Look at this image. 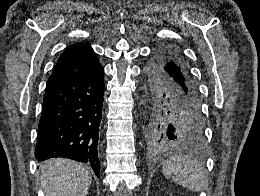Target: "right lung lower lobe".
Wrapping results in <instances>:
<instances>
[{"instance_id":"right-lung-lower-lobe-1","label":"right lung lower lobe","mask_w":260,"mask_h":196,"mask_svg":"<svg viewBox=\"0 0 260 196\" xmlns=\"http://www.w3.org/2000/svg\"><path fill=\"white\" fill-rule=\"evenodd\" d=\"M104 70L83 80L46 90L38 126L35 158L63 157L89 163L99 177L98 140Z\"/></svg>"}]
</instances>
